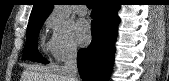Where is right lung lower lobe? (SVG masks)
Returning <instances> with one entry per match:
<instances>
[{"instance_id":"obj_1","label":"right lung lower lobe","mask_w":169,"mask_h":81,"mask_svg":"<svg viewBox=\"0 0 169 81\" xmlns=\"http://www.w3.org/2000/svg\"><path fill=\"white\" fill-rule=\"evenodd\" d=\"M118 9L119 5L110 0H99L92 10V42L77 55L78 71L83 81H108L110 77L120 21Z\"/></svg>"}]
</instances>
